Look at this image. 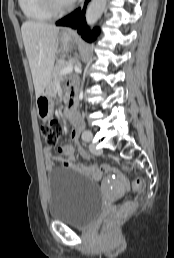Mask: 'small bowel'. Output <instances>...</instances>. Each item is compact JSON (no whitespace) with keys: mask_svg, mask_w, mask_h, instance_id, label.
Listing matches in <instances>:
<instances>
[{"mask_svg":"<svg viewBox=\"0 0 174 258\" xmlns=\"http://www.w3.org/2000/svg\"><path fill=\"white\" fill-rule=\"evenodd\" d=\"M83 124L79 116H75L72 119V132L71 137L77 139L79 132L82 130ZM59 154H54L50 147L44 148L45 167L47 171H52L55 167V162L60 161L66 168L83 171L86 179H100L101 176H105L106 172H114V167H88L91 158L88 157L87 152L83 147H78V152L82 158V165L75 163V150L72 145H63L58 148ZM116 174V179L120 180L121 187L123 189L129 188V179H123V174Z\"/></svg>","mask_w":174,"mask_h":258,"instance_id":"small-bowel-1","label":"small bowel"}]
</instances>
